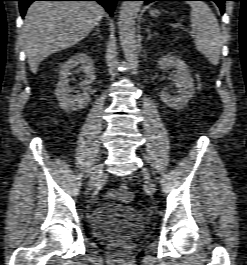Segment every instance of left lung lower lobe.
I'll return each mask as SVG.
<instances>
[{
  "label": "left lung lower lobe",
  "instance_id": "left-lung-lower-lobe-1",
  "mask_svg": "<svg viewBox=\"0 0 247 265\" xmlns=\"http://www.w3.org/2000/svg\"><path fill=\"white\" fill-rule=\"evenodd\" d=\"M139 1H145L146 4L151 3L153 1H190V0H139ZM202 1H214L218 7L220 8L221 13H224V3L228 0H202Z\"/></svg>",
  "mask_w": 247,
  "mask_h": 265
}]
</instances>
